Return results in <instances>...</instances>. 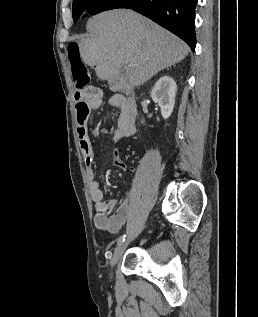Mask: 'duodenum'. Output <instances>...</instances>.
Instances as JSON below:
<instances>
[{
    "label": "duodenum",
    "mask_w": 258,
    "mask_h": 317,
    "mask_svg": "<svg viewBox=\"0 0 258 317\" xmlns=\"http://www.w3.org/2000/svg\"><path fill=\"white\" fill-rule=\"evenodd\" d=\"M85 97H86V94H85L84 91H82V90H77V91L75 92L74 98H75V102H76V103L82 102V101L85 99Z\"/></svg>",
    "instance_id": "1"
}]
</instances>
